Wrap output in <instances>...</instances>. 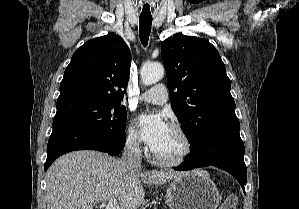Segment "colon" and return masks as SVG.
I'll use <instances>...</instances> for the list:
<instances>
[{
  "label": "colon",
  "mask_w": 299,
  "mask_h": 209,
  "mask_svg": "<svg viewBox=\"0 0 299 209\" xmlns=\"http://www.w3.org/2000/svg\"><path fill=\"white\" fill-rule=\"evenodd\" d=\"M236 199L234 197L227 198L220 209H235Z\"/></svg>",
  "instance_id": "1"
}]
</instances>
